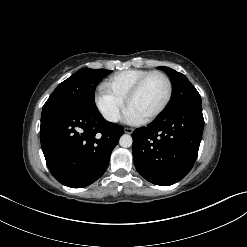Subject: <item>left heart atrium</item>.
Instances as JSON below:
<instances>
[{
    "instance_id": "left-heart-atrium-1",
    "label": "left heart atrium",
    "mask_w": 247,
    "mask_h": 247,
    "mask_svg": "<svg viewBox=\"0 0 247 247\" xmlns=\"http://www.w3.org/2000/svg\"><path fill=\"white\" fill-rule=\"evenodd\" d=\"M126 120L131 123H138L141 122V118L136 115L132 110L128 108L126 113Z\"/></svg>"
}]
</instances>
